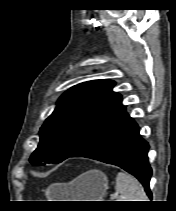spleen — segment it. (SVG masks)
<instances>
[{
  "label": "spleen",
  "mask_w": 176,
  "mask_h": 211,
  "mask_svg": "<svg viewBox=\"0 0 176 211\" xmlns=\"http://www.w3.org/2000/svg\"><path fill=\"white\" fill-rule=\"evenodd\" d=\"M115 189L120 194L118 201H148L142 185L125 172L117 174Z\"/></svg>",
  "instance_id": "3e777b00"
}]
</instances>
